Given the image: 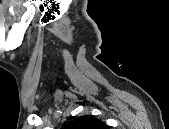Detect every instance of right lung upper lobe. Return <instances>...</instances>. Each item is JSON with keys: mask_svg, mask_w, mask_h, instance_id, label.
<instances>
[{"mask_svg": "<svg viewBox=\"0 0 169 129\" xmlns=\"http://www.w3.org/2000/svg\"><path fill=\"white\" fill-rule=\"evenodd\" d=\"M65 129H106L107 126L92 116H82L66 124Z\"/></svg>", "mask_w": 169, "mask_h": 129, "instance_id": "right-lung-upper-lobe-1", "label": "right lung upper lobe"}]
</instances>
